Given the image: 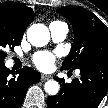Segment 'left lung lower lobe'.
<instances>
[{
  "label": "left lung lower lobe",
  "instance_id": "0a47b994",
  "mask_svg": "<svg viewBox=\"0 0 108 108\" xmlns=\"http://www.w3.org/2000/svg\"><path fill=\"white\" fill-rule=\"evenodd\" d=\"M81 78L61 85L59 93L47 99L48 108H97L108 91V61L99 67L80 68Z\"/></svg>",
  "mask_w": 108,
  "mask_h": 108
}]
</instances>
